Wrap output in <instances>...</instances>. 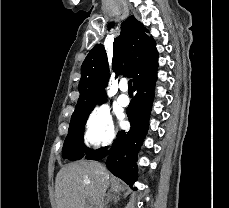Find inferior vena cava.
Instances as JSON below:
<instances>
[{
  "label": "inferior vena cava",
  "mask_w": 229,
  "mask_h": 208,
  "mask_svg": "<svg viewBox=\"0 0 229 208\" xmlns=\"http://www.w3.org/2000/svg\"><path fill=\"white\" fill-rule=\"evenodd\" d=\"M103 188H104V194H103V196L101 198V202H100L99 208H104L103 202H104V196H105V192H106V188H107L106 184H105V186H103Z\"/></svg>",
  "instance_id": "obj_1"
}]
</instances>
